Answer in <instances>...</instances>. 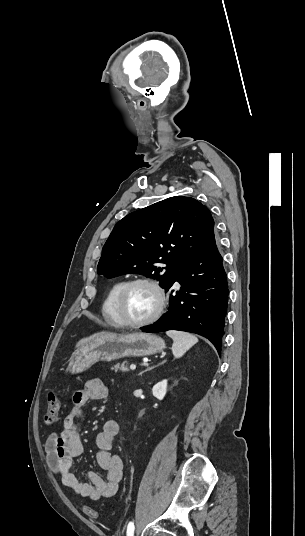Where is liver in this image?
Returning <instances> with one entry per match:
<instances>
[{"mask_svg":"<svg viewBox=\"0 0 305 536\" xmlns=\"http://www.w3.org/2000/svg\"><path fill=\"white\" fill-rule=\"evenodd\" d=\"M101 334H107V332H100V334H93V336H90V338H83V340H80V342L76 344V348H80V346H84V344H87L89 340H94V338H97V336H101Z\"/></svg>","mask_w":305,"mask_h":536,"instance_id":"liver-1","label":"liver"}]
</instances>
